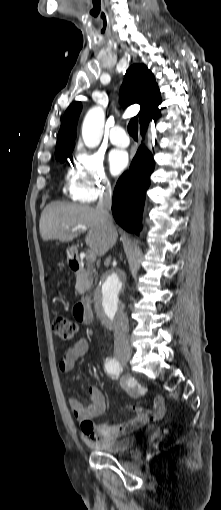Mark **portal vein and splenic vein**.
<instances>
[{
    "label": "portal vein and splenic vein",
    "instance_id": "portal-vein-and-splenic-vein-1",
    "mask_svg": "<svg viewBox=\"0 0 221 510\" xmlns=\"http://www.w3.org/2000/svg\"><path fill=\"white\" fill-rule=\"evenodd\" d=\"M78 229H80L81 231H85L86 230V227L84 226H79ZM74 230V229H73ZM86 260L88 262H94L96 260V255L95 253L92 251V250H88L86 252Z\"/></svg>",
    "mask_w": 221,
    "mask_h": 510
}]
</instances>
